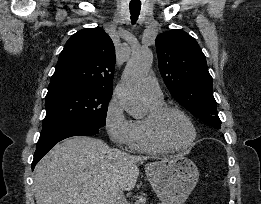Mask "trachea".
<instances>
[{
    "instance_id": "1",
    "label": "trachea",
    "mask_w": 261,
    "mask_h": 204,
    "mask_svg": "<svg viewBox=\"0 0 261 204\" xmlns=\"http://www.w3.org/2000/svg\"><path fill=\"white\" fill-rule=\"evenodd\" d=\"M129 9L131 14V22L132 24H135L140 14L141 5H130Z\"/></svg>"
}]
</instances>
